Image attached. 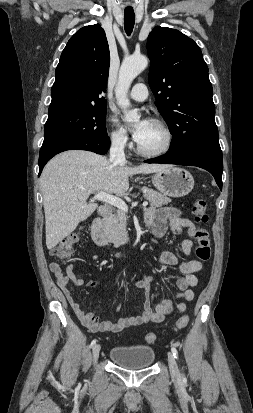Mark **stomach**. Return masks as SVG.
Returning a JSON list of instances; mask_svg holds the SVG:
<instances>
[{"label": "stomach", "instance_id": "0dacf381", "mask_svg": "<svg viewBox=\"0 0 253 413\" xmlns=\"http://www.w3.org/2000/svg\"><path fill=\"white\" fill-rule=\"evenodd\" d=\"M151 180L160 192L175 198L186 196L194 187L193 176L187 170L173 165L156 172Z\"/></svg>", "mask_w": 253, "mask_h": 413}]
</instances>
